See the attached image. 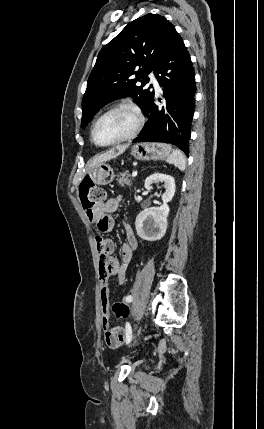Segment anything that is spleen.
Wrapping results in <instances>:
<instances>
[{
  "instance_id": "1",
  "label": "spleen",
  "mask_w": 264,
  "mask_h": 429,
  "mask_svg": "<svg viewBox=\"0 0 264 429\" xmlns=\"http://www.w3.org/2000/svg\"><path fill=\"white\" fill-rule=\"evenodd\" d=\"M166 161L169 164L174 165L175 167H177L181 171H184L186 168L185 156L178 149L173 150V152L167 157Z\"/></svg>"
}]
</instances>
